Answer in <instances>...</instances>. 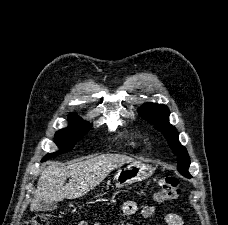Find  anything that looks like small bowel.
<instances>
[{
    "label": "small bowel",
    "instance_id": "obj_1",
    "mask_svg": "<svg viewBox=\"0 0 228 225\" xmlns=\"http://www.w3.org/2000/svg\"><path fill=\"white\" fill-rule=\"evenodd\" d=\"M138 211V206L135 201L128 200L123 205V212L125 215H134ZM155 213V207L151 206L150 203H147L141 210V215L143 218H150ZM163 221L165 225H184L183 219L180 215L176 213H167L163 217ZM78 225H88L87 222L82 221L78 223ZM94 225H100L99 222H96ZM126 225H131V223H127Z\"/></svg>",
    "mask_w": 228,
    "mask_h": 225
}]
</instances>
